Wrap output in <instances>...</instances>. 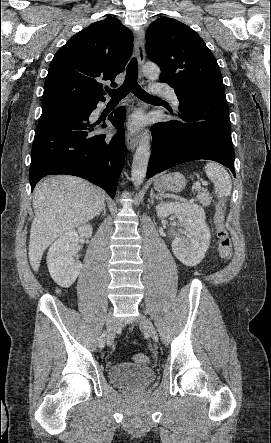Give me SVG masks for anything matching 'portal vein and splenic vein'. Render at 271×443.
Here are the masks:
<instances>
[{
    "instance_id": "portal-vein-and-splenic-vein-1",
    "label": "portal vein and splenic vein",
    "mask_w": 271,
    "mask_h": 443,
    "mask_svg": "<svg viewBox=\"0 0 271 443\" xmlns=\"http://www.w3.org/2000/svg\"><path fill=\"white\" fill-rule=\"evenodd\" d=\"M201 184H202V186H208V182H195V183H193V185H192V190H193V192H195V193L200 192V190H201Z\"/></svg>"
}]
</instances>
